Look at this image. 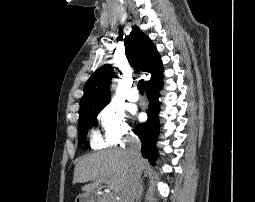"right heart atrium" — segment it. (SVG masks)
I'll list each match as a JSON object with an SVG mask.
<instances>
[{
	"instance_id": "right-heart-atrium-1",
	"label": "right heart atrium",
	"mask_w": 255,
	"mask_h": 202,
	"mask_svg": "<svg viewBox=\"0 0 255 202\" xmlns=\"http://www.w3.org/2000/svg\"><path fill=\"white\" fill-rule=\"evenodd\" d=\"M98 122L101 133L97 138V145L100 147L120 144L131 133L124 112L113 104H108L100 110Z\"/></svg>"
}]
</instances>
